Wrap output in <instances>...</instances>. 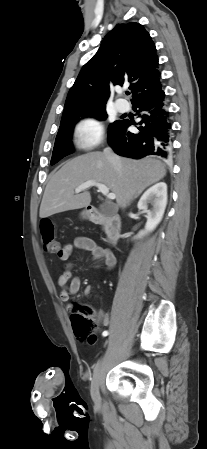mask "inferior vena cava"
<instances>
[{
	"label": "inferior vena cava",
	"mask_w": 207,
	"mask_h": 449,
	"mask_svg": "<svg viewBox=\"0 0 207 449\" xmlns=\"http://www.w3.org/2000/svg\"><path fill=\"white\" fill-rule=\"evenodd\" d=\"M104 155L106 156L108 161L113 165L115 170L121 175L122 174V165H121L120 158L117 155H115L112 152L111 148H109V147L104 149Z\"/></svg>",
	"instance_id": "602c4592"
}]
</instances>
